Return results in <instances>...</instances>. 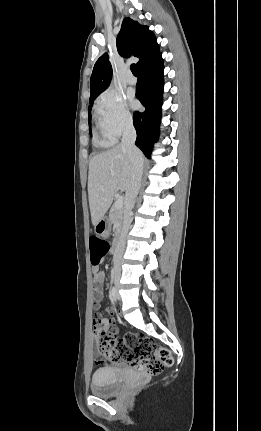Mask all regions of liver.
<instances>
[{
	"instance_id": "liver-1",
	"label": "liver",
	"mask_w": 261,
	"mask_h": 431,
	"mask_svg": "<svg viewBox=\"0 0 261 431\" xmlns=\"http://www.w3.org/2000/svg\"><path fill=\"white\" fill-rule=\"evenodd\" d=\"M142 161L144 156L140 151ZM132 177V164L122 144L93 156L89 163L88 198L91 221L95 226L111 206L118 190L127 191Z\"/></svg>"
}]
</instances>
